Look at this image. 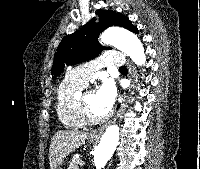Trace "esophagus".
<instances>
[{
	"mask_svg": "<svg viewBox=\"0 0 200 169\" xmlns=\"http://www.w3.org/2000/svg\"><path fill=\"white\" fill-rule=\"evenodd\" d=\"M127 65H128V78L130 80V86L124 92V97H123V101H122L121 106H120L118 112L116 113V115L114 116V118L110 122L102 125L98 129H95L90 133L91 137H99V136H101L103 134L104 130L107 128V126H109L111 123L116 121V119L124 111L126 103H127V100H128V98L130 96V93L132 92V89L134 88V81H133L134 67H133V65L131 64V62L129 60L127 62Z\"/></svg>",
	"mask_w": 200,
	"mask_h": 169,
	"instance_id": "obj_1",
	"label": "esophagus"
}]
</instances>
